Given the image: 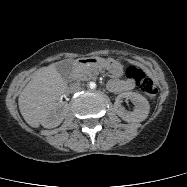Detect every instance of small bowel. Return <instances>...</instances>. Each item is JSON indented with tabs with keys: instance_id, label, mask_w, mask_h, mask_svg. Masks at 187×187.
<instances>
[{
	"instance_id": "c3829d8e",
	"label": "small bowel",
	"mask_w": 187,
	"mask_h": 187,
	"mask_svg": "<svg viewBox=\"0 0 187 187\" xmlns=\"http://www.w3.org/2000/svg\"><path fill=\"white\" fill-rule=\"evenodd\" d=\"M134 88V82L131 79L112 80L108 83V89L113 92L129 91Z\"/></svg>"
}]
</instances>
